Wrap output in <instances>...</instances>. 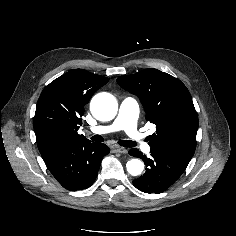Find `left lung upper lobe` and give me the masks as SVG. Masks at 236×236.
I'll use <instances>...</instances> for the list:
<instances>
[{
    "label": "left lung upper lobe",
    "instance_id": "1",
    "mask_svg": "<svg viewBox=\"0 0 236 236\" xmlns=\"http://www.w3.org/2000/svg\"><path fill=\"white\" fill-rule=\"evenodd\" d=\"M117 83L139 97L146 119L156 125L149 145L190 162L196 149L198 116L186 86L153 68L121 76Z\"/></svg>",
    "mask_w": 236,
    "mask_h": 236
}]
</instances>
